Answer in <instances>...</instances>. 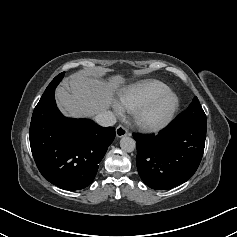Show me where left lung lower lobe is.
Instances as JSON below:
<instances>
[{"label":"left lung lower lobe","mask_w":237,"mask_h":237,"mask_svg":"<svg viewBox=\"0 0 237 237\" xmlns=\"http://www.w3.org/2000/svg\"><path fill=\"white\" fill-rule=\"evenodd\" d=\"M207 125L176 119L157 136L133 135L137 169L152 189L164 190L186 182L197 170L205 147Z\"/></svg>","instance_id":"0a47b994"}]
</instances>
